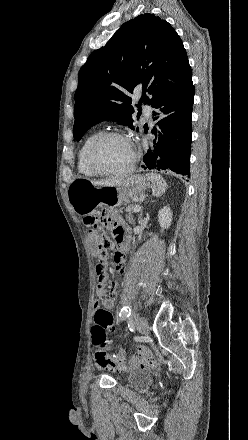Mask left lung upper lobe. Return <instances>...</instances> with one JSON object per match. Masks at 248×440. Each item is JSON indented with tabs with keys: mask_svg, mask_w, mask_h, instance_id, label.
Returning <instances> with one entry per match:
<instances>
[{
	"mask_svg": "<svg viewBox=\"0 0 248 440\" xmlns=\"http://www.w3.org/2000/svg\"><path fill=\"white\" fill-rule=\"evenodd\" d=\"M191 79L188 57L174 28L154 14L135 17L104 47L92 52L81 67L75 92L74 138L80 140L89 128L105 120L134 129L130 94L135 87H142L137 107L144 100L155 107Z\"/></svg>",
	"mask_w": 248,
	"mask_h": 440,
	"instance_id": "5c2ea615",
	"label": "left lung upper lobe"
}]
</instances>
